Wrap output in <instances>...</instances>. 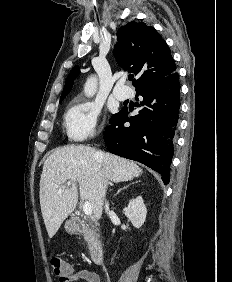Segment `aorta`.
Returning a JSON list of instances; mask_svg holds the SVG:
<instances>
[{"instance_id": "aorta-1", "label": "aorta", "mask_w": 232, "mask_h": 282, "mask_svg": "<svg viewBox=\"0 0 232 282\" xmlns=\"http://www.w3.org/2000/svg\"><path fill=\"white\" fill-rule=\"evenodd\" d=\"M97 77L96 76H90L85 85H84V93L87 97H91L95 94L97 90Z\"/></svg>"}]
</instances>
